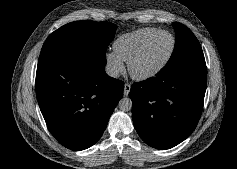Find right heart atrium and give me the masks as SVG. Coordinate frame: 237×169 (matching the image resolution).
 Returning a JSON list of instances; mask_svg holds the SVG:
<instances>
[{
  "label": "right heart atrium",
  "instance_id": "1",
  "mask_svg": "<svg viewBox=\"0 0 237 169\" xmlns=\"http://www.w3.org/2000/svg\"><path fill=\"white\" fill-rule=\"evenodd\" d=\"M105 58L111 74L117 75L124 70V62L115 52H107Z\"/></svg>",
  "mask_w": 237,
  "mask_h": 169
}]
</instances>
